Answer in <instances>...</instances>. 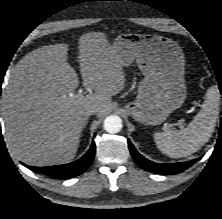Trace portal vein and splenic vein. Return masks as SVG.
<instances>
[{
    "label": "portal vein and splenic vein",
    "mask_w": 222,
    "mask_h": 219,
    "mask_svg": "<svg viewBox=\"0 0 222 219\" xmlns=\"http://www.w3.org/2000/svg\"><path fill=\"white\" fill-rule=\"evenodd\" d=\"M78 94H80V93H78ZM69 96H70V97H74V96H76V94L70 93V94H69ZM179 126H181V127H182V124H181V123H179Z\"/></svg>",
    "instance_id": "18ae733b"
}]
</instances>
